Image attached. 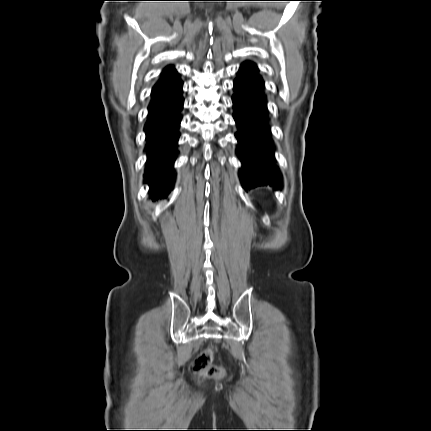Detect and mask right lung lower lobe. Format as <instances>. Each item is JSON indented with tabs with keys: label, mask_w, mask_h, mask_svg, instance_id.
<instances>
[{
	"label": "right lung lower lobe",
	"mask_w": 431,
	"mask_h": 431,
	"mask_svg": "<svg viewBox=\"0 0 431 431\" xmlns=\"http://www.w3.org/2000/svg\"><path fill=\"white\" fill-rule=\"evenodd\" d=\"M179 78L152 92L145 125L147 145L146 182L152 199L166 197L173 186L178 132L184 100Z\"/></svg>",
	"instance_id": "1"
}]
</instances>
